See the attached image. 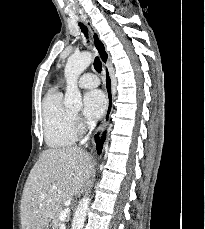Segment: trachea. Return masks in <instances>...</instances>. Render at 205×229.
<instances>
[{"label":"trachea","mask_w":205,"mask_h":229,"mask_svg":"<svg viewBox=\"0 0 205 229\" xmlns=\"http://www.w3.org/2000/svg\"><path fill=\"white\" fill-rule=\"evenodd\" d=\"M79 26H80L82 32L84 33V35L86 37H88L87 28L82 23H79ZM94 68L98 73H101V71H102V63H101V61H100V59L98 57H96L95 60H94Z\"/></svg>","instance_id":"3493384b"}]
</instances>
